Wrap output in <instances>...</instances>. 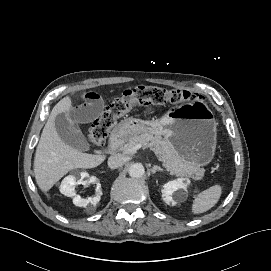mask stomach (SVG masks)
<instances>
[{
	"instance_id": "1",
	"label": "stomach",
	"mask_w": 271,
	"mask_h": 271,
	"mask_svg": "<svg viewBox=\"0 0 271 271\" xmlns=\"http://www.w3.org/2000/svg\"><path fill=\"white\" fill-rule=\"evenodd\" d=\"M216 127L212 111L202 102H193L171 107L158 120L128 118L117 131L127 138L143 132L162 135L185 161L204 166L215 154Z\"/></svg>"
}]
</instances>
